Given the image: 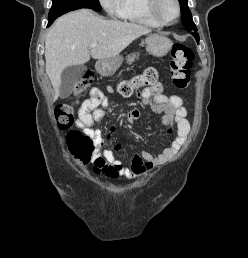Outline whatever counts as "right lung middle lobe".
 Masks as SVG:
<instances>
[{
	"label": "right lung middle lobe",
	"instance_id": "right-lung-middle-lobe-1",
	"mask_svg": "<svg viewBox=\"0 0 248 258\" xmlns=\"http://www.w3.org/2000/svg\"><path fill=\"white\" fill-rule=\"evenodd\" d=\"M81 8H90L95 11L101 10L99 0H53L49 12V21L55 20L69 11Z\"/></svg>",
	"mask_w": 248,
	"mask_h": 258
}]
</instances>
